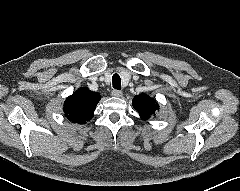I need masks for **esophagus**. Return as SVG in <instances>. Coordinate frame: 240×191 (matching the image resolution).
<instances>
[{
  "mask_svg": "<svg viewBox=\"0 0 240 191\" xmlns=\"http://www.w3.org/2000/svg\"><path fill=\"white\" fill-rule=\"evenodd\" d=\"M111 95L114 96V97H121L122 92L118 91V90H112Z\"/></svg>",
  "mask_w": 240,
  "mask_h": 191,
  "instance_id": "esophagus-1",
  "label": "esophagus"
}]
</instances>
